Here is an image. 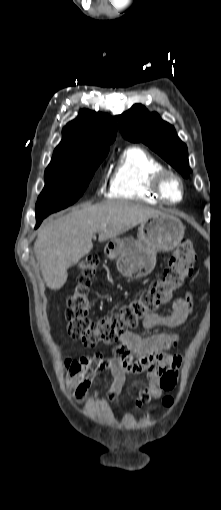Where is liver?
<instances>
[{"instance_id": "1", "label": "liver", "mask_w": 221, "mask_h": 510, "mask_svg": "<svg viewBox=\"0 0 221 510\" xmlns=\"http://www.w3.org/2000/svg\"><path fill=\"white\" fill-rule=\"evenodd\" d=\"M161 212L123 200L83 205L51 220L38 232L34 253L46 286L59 290L65 284L67 269L76 265L99 242L116 238Z\"/></svg>"}]
</instances>
